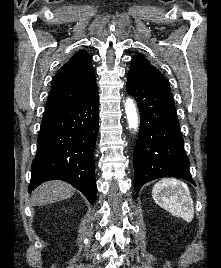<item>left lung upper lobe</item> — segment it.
Instances as JSON below:
<instances>
[{
	"mask_svg": "<svg viewBox=\"0 0 221 268\" xmlns=\"http://www.w3.org/2000/svg\"><path fill=\"white\" fill-rule=\"evenodd\" d=\"M128 79L147 87L170 91L166 78L141 54L131 61Z\"/></svg>",
	"mask_w": 221,
	"mask_h": 268,
	"instance_id": "obj_1",
	"label": "left lung upper lobe"
}]
</instances>
